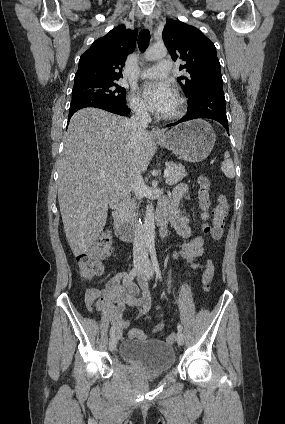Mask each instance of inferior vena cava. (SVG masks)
I'll return each instance as SVG.
<instances>
[{
  "instance_id": "obj_1",
  "label": "inferior vena cava",
  "mask_w": 285,
  "mask_h": 424,
  "mask_svg": "<svg viewBox=\"0 0 285 424\" xmlns=\"http://www.w3.org/2000/svg\"><path fill=\"white\" fill-rule=\"evenodd\" d=\"M134 115L129 119V126L132 130V143L137 145L139 138L151 122V117L144 106L135 105L132 107ZM144 181L140 172L133 175L131 190L138 200L143 195ZM143 226L137 221L135 224V236L133 241V256L136 260H148L146 255Z\"/></svg>"
}]
</instances>
